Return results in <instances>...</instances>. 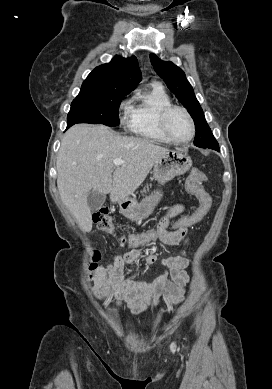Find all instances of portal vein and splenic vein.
<instances>
[{"instance_id":"portal-vein-and-splenic-vein-1","label":"portal vein and splenic vein","mask_w":272,"mask_h":389,"mask_svg":"<svg viewBox=\"0 0 272 389\" xmlns=\"http://www.w3.org/2000/svg\"><path fill=\"white\" fill-rule=\"evenodd\" d=\"M124 163V160H122V159H115L114 161H113V164L115 165V166H120L121 164H123Z\"/></svg>"}]
</instances>
